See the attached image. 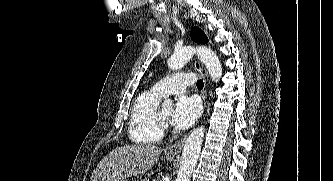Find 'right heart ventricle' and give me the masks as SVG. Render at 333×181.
<instances>
[{
    "instance_id": "right-heart-ventricle-1",
    "label": "right heart ventricle",
    "mask_w": 333,
    "mask_h": 181,
    "mask_svg": "<svg viewBox=\"0 0 333 181\" xmlns=\"http://www.w3.org/2000/svg\"><path fill=\"white\" fill-rule=\"evenodd\" d=\"M162 97L154 92L146 91L140 94L133 103L129 137L138 144H154L162 138V125L156 117V111Z\"/></svg>"
}]
</instances>
